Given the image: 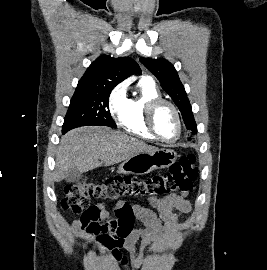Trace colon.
I'll list each match as a JSON object with an SVG mask.
<instances>
[{
	"label": "colon",
	"mask_w": 267,
	"mask_h": 270,
	"mask_svg": "<svg viewBox=\"0 0 267 270\" xmlns=\"http://www.w3.org/2000/svg\"><path fill=\"white\" fill-rule=\"evenodd\" d=\"M195 163V156L187 154L163 174L144 178L116 176L101 182L86 180L69 184L64 189L60 206L63 210L83 216L93 212L89 206L93 198L104 201L127 198L153 201L188 192L198 175ZM118 261L124 262L123 258Z\"/></svg>",
	"instance_id": "5ec220e1"
}]
</instances>
